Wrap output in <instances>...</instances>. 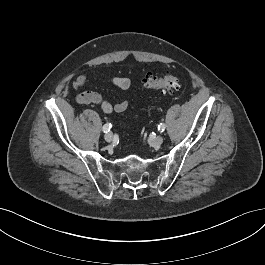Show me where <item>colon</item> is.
Masks as SVG:
<instances>
[{
    "label": "colon",
    "instance_id": "obj_1",
    "mask_svg": "<svg viewBox=\"0 0 265 265\" xmlns=\"http://www.w3.org/2000/svg\"><path fill=\"white\" fill-rule=\"evenodd\" d=\"M143 86L147 89L162 90L165 92H174L181 89L180 79L171 73H167L162 77L147 73L142 79Z\"/></svg>",
    "mask_w": 265,
    "mask_h": 265
}]
</instances>
